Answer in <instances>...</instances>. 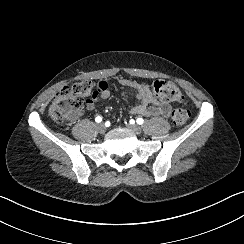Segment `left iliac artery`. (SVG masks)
<instances>
[{"label": "left iliac artery", "instance_id": "1", "mask_svg": "<svg viewBox=\"0 0 244 244\" xmlns=\"http://www.w3.org/2000/svg\"><path fill=\"white\" fill-rule=\"evenodd\" d=\"M143 122H144V120H143L142 118H138V119H137V123H138L139 125L143 124ZM130 123H131V122H130Z\"/></svg>", "mask_w": 244, "mask_h": 244}]
</instances>
